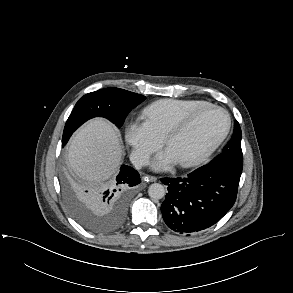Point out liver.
I'll return each mask as SVG.
<instances>
[{"instance_id":"obj_1","label":"liver","mask_w":293,"mask_h":293,"mask_svg":"<svg viewBox=\"0 0 293 293\" xmlns=\"http://www.w3.org/2000/svg\"><path fill=\"white\" fill-rule=\"evenodd\" d=\"M122 155L118 133L108 121L96 118L82 126L73 137L68 164L82 180L100 182L118 170Z\"/></svg>"}]
</instances>
